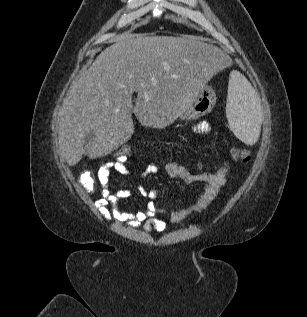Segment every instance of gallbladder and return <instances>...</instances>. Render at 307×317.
I'll list each match as a JSON object with an SVG mask.
<instances>
[{
	"mask_svg": "<svg viewBox=\"0 0 307 317\" xmlns=\"http://www.w3.org/2000/svg\"><path fill=\"white\" fill-rule=\"evenodd\" d=\"M92 138H93V134L92 133H90L88 136H87V141L89 142V141H91L92 140Z\"/></svg>",
	"mask_w": 307,
	"mask_h": 317,
	"instance_id": "1",
	"label": "gallbladder"
}]
</instances>
